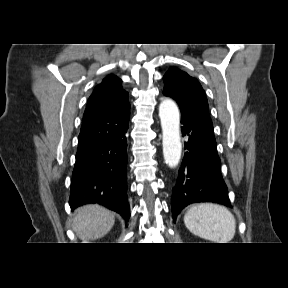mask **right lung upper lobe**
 <instances>
[{
	"mask_svg": "<svg viewBox=\"0 0 288 288\" xmlns=\"http://www.w3.org/2000/svg\"><path fill=\"white\" fill-rule=\"evenodd\" d=\"M130 104L121 79L108 75L88 99L78 138V151H84L112 138L128 126Z\"/></svg>",
	"mask_w": 288,
	"mask_h": 288,
	"instance_id": "1",
	"label": "right lung upper lobe"
}]
</instances>
